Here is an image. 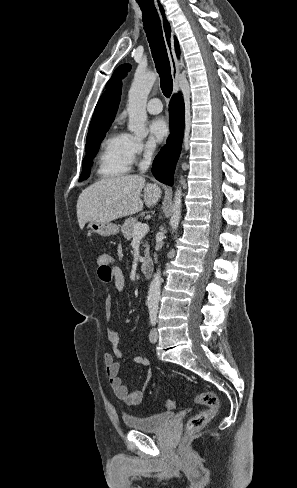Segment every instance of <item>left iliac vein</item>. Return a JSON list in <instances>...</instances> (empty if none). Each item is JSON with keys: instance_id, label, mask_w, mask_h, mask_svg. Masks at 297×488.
<instances>
[{"instance_id": "left-iliac-vein-1", "label": "left iliac vein", "mask_w": 297, "mask_h": 488, "mask_svg": "<svg viewBox=\"0 0 297 488\" xmlns=\"http://www.w3.org/2000/svg\"><path fill=\"white\" fill-rule=\"evenodd\" d=\"M149 340L151 343H155L158 340V332L156 328H153L149 334Z\"/></svg>"}]
</instances>
